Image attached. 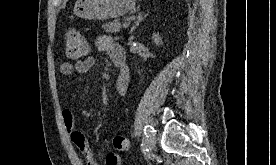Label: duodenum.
<instances>
[{
  "mask_svg": "<svg viewBox=\"0 0 276 165\" xmlns=\"http://www.w3.org/2000/svg\"><path fill=\"white\" fill-rule=\"evenodd\" d=\"M113 62H114V64H115L116 66H118L119 68H120L121 65H122V62H121L119 59H114Z\"/></svg>",
  "mask_w": 276,
  "mask_h": 165,
  "instance_id": "1",
  "label": "duodenum"
}]
</instances>
